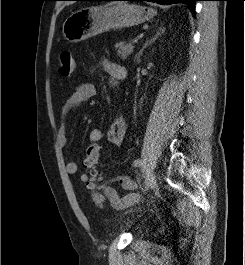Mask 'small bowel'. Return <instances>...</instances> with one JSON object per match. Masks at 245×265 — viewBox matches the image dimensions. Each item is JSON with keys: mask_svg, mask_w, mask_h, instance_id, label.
I'll return each mask as SVG.
<instances>
[{"mask_svg": "<svg viewBox=\"0 0 245 265\" xmlns=\"http://www.w3.org/2000/svg\"><path fill=\"white\" fill-rule=\"evenodd\" d=\"M102 68L110 77V82L112 86L118 84L126 77V70L121 65L111 62L109 60H103L101 62ZM96 94V88L91 83H81L77 85L66 103L63 105L61 110V123L57 134V140L61 147H65L67 144V118L68 116L78 109L83 103L94 97ZM126 133V122L123 117H117L107 133V139L113 145H120L124 139ZM103 138V132L94 128L90 131L89 141L90 144H99ZM66 172L69 175H74L78 172V165L70 161L66 165ZM79 179L83 183L89 182V176L86 173H81ZM118 182L121 187L127 191L129 194L124 197H120L118 192L110 186L111 183ZM137 184L135 181L130 179L126 175H118L116 177L110 178L104 184L101 185V191L103 194V199H107L110 203L112 209L119 210L124 209L132 204L139 203L141 201V196L136 193Z\"/></svg>", "mask_w": 245, "mask_h": 265, "instance_id": "1", "label": "small bowel"}]
</instances>
